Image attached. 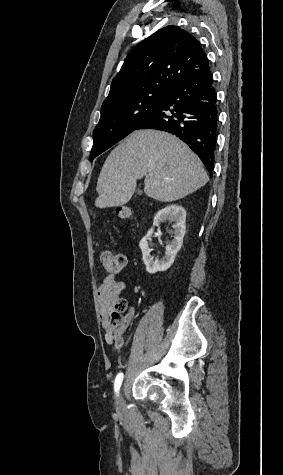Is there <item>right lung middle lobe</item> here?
<instances>
[{"label":"right lung middle lobe","mask_w":283,"mask_h":475,"mask_svg":"<svg viewBox=\"0 0 283 475\" xmlns=\"http://www.w3.org/2000/svg\"><path fill=\"white\" fill-rule=\"evenodd\" d=\"M168 92H153L102 105L101 117L93 132L90 161L136 130L137 126L164 100Z\"/></svg>","instance_id":"1"}]
</instances>
